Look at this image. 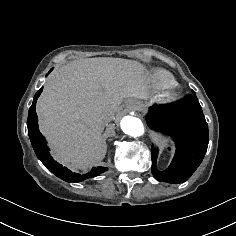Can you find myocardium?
<instances>
[{"instance_id": "obj_1", "label": "myocardium", "mask_w": 236, "mask_h": 236, "mask_svg": "<svg viewBox=\"0 0 236 236\" xmlns=\"http://www.w3.org/2000/svg\"><path fill=\"white\" fill-rule=\"evenodd\" d=\"M168 96L171 97V96H172V93H169Z\"/></svg>"}]
</instances>
